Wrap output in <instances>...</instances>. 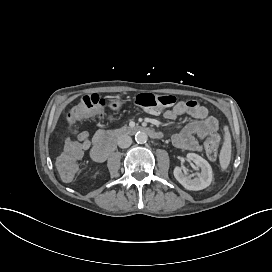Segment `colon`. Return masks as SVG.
<instances>
[{
  "mask_svg": "<svg viewBox=\"0 0 272 272\" xmlns=\"http://www.w3.org/2000/svg\"><path fill=\"white\" fill-rule=\"evenodd\" d=\"M175 102V97L171 95L139 94L135 98V104L138 107L150 112H158L162 109L170 108ZM103 105V97L97 94H88L82 98L78 106L67 113L66 132L69 135L62 140L64 151L61 158L57 161L61 178L66 182H76L81 174L77 160L81 155V148L77 145V138L74 136L77 132V126L80 124V119L82 117L90 118L93 115L97 121H102L106 117V112L100 108ZM93 109L96 110L93 112ZM216 124V121L213 119L204 123V128L208 131L207 147L209 148L208 156L211 159H216L218 153L217 145L220 138L215 132Z\"/></svg>",
  "mask_w": 272,
  "mask_h": 272,
  "instance_id": "1",
  "label": "colon"
}]
</instances>
